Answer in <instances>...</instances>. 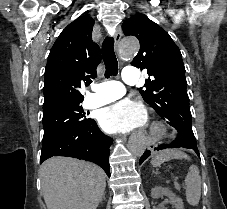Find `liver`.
I'll return each mask as SVG.
<instances>
[{
  "label": "liver",
  "instance_id": "1",
  "mask_svg": "<svg viewBox=\"0 0 227 209\" xmlns=\"http://www.w3.org/2000/svg\"><path fill=\"white\" fill-rule=\"evenodd\" d=\"M47 209H97L105 191V173L85 161L52 157L40 167Z\"/></svg>",
  "mask_w": 227,
  "mask_h": 209
}]
</instances>
